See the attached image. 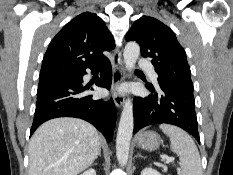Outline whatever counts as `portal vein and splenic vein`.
Instances as JSON below:
<instances>
[{
	"instance_id": "obj_1",
	"label": "portal vein and splenic vein",
	"mask_w": 233,
	"mask_h": 175,
	"mask_svg": "<svg viewBox=\"0 0 233 175\" xmlns=\"http://www.w3.org/2000/svg\"><path fill=\"white\" fill-rule=\"evenodd\" d=\"M165 159H166V163H170L174 161L173 157H166Z\"/></svg>"
}]
</instances>
